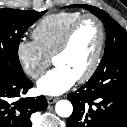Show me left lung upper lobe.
<instances>
[{
	"label": "left lung upper lobe",
	"instance_id": "5c2ea615",
	"mask_svg": "<svg viewBox=\"0 0 127 127\" xmlns=\"http://www.w3.org/2000/svg\"><path fill=\"white\" fill-rule=\"evenodd\" d=\"M69 7L87 9L104 23L106 29V46L104 56L95 72L104 69L115 60L127 58V33L114 19L103 10L91 5L78 4Z\"/></svg>",
	"mask_w": 127,
	"mask_h": 127
}]
</instances>
